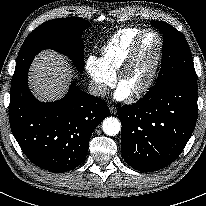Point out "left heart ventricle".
Wrapping results in <instances>:
<instances>
[{
    "mask_svg": "<svg viewBox=\"0 0 206 206\" xmlns=\"http://www.w3.org/2000/svg\"><path fill=\"white\" fill-rule=\"evenodd\" d=\"M158 42L153 34L143 39L136 59L125 74L121 85L133 91L147 79L157 54Z\"/></svg>",
    "mask_w": 206,
    "mask_h": 206,
    "instance_id": "b2bd125f",
    "label": "left heart ventricle"
}]
</instances>
